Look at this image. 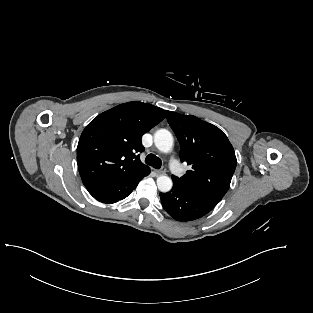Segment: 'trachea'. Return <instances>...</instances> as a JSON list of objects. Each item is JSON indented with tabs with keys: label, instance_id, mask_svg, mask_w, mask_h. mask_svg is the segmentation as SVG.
Returning <instances> with one entry per match:
<instances>
[{
	"label": "trachea",
	"instance_id": "1",
	"mask_svg": "<svg viewBox=\"0 0 313 313\" xmlns=\"http://www.w3.org/2000/svg\"><path fill=\"white\" fill-rule=\"evenodd\" d=\"M146 164L159 169L162 165L161 159L154 154H149L145 159Z\"/></svg>",
	"mask_w": 313,
	"mask_h": 313
}]
</instances>
